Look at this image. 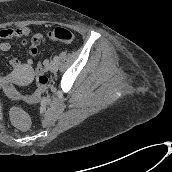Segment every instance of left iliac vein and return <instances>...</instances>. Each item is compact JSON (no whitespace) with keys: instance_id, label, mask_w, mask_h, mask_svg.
<instances>
[{"instance_id":"1","label":"left iliac vein","mask_w":172,"mask_h":172,"mask_svg":"<svg viewBox=\"0 0 172 172\" xmlns=\"http://www.w3.org/2000/svg\"><path fill=\"white\" fill-rule=\"evenodd\" d=\"M48 69H49L51 72L55 73V72L57 71V69H58L57 63H56L55 61H51V62L49 63V65H48Z\"/></svg>"}]
</instances>
